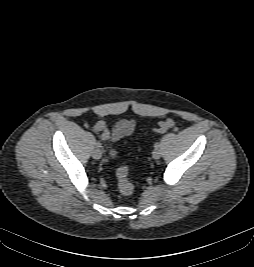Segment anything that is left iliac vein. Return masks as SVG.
<instances>
[{
  "label": "left iliac vein",
  "instance_id": "4c4485c4",
  "mask_svg": "<svg viewBox=\"0 0 254 267\" xmlns=\"http://www.w3.org/2000/svg\"><path fill=\"white\" fill-rule=\"evenodd\" d=\"M152 156L154 159H159L161 157V150L159 148H155L152 152Z\"/></svg>",
  "mask_w": 254,
  "mask_h": 267
}]
</instances>
